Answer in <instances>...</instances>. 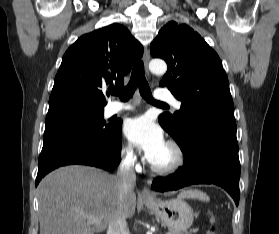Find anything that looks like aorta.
Here are the masks:
<instances>
[{"label": "aorta", "instance_id": "obj_1", "mask_svg": "<svg viewBox=\"0 0 279 234\" xmlns=\"http://www.w3.org/2000/svg\"><path fill=\"white\" fill-rule=\"evenodd\" d=\"M149 69L154 74L163 75L167 71V65L163 60L153 59L149 63Z\"/></svg>", "mask_w": 279, "mask_h": 234}]
</instances>
